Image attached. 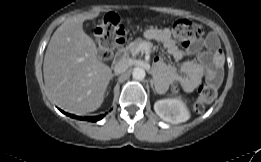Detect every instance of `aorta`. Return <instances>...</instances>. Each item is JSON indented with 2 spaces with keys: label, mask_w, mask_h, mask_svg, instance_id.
Listing matches in <instances>:
<instances>
[{
  "label": "aorta",
  "mask_w": 261,
  "mask_h": 162,
  "mask_svg": "<svg viewBox=\"0 0 261 162\" xmlns=\"http://www.w3.org/2000/svg\"><path fill=\"white\" fill-rule=\"evenodd\" d=\"M145 70L143 68H134L132 76L136 80H143L145 78Z\"/></svg>",
  "instance_id": "1"
}]
</instances>
